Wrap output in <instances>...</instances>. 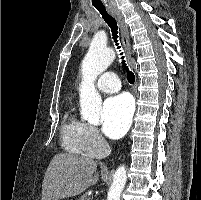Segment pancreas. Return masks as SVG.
<instances>
[{
    "label": "pancreas",
    "instance_id": "1",
    "mask_svg": "<svg viewBox=\"0 0 201 200\" xmlns=\"http://www.w3.org/2000/svg\"><path fill=\"white\" fill-rule=\"evenodd\" d=\"M78 200H89L86 196L79 198Z\"/></svg>",
    "mask_w": 201,
    "mask_h": 200
}]
</instances>
